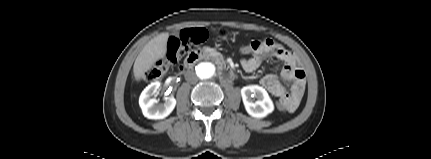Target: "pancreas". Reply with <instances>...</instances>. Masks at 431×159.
<instances>
[{"instance_id":"obj_1","label":"pancreas","mask_w":431,"mask_h":159,"mask_svg":"<svg viewBox=\"0 0 431 159\" xmlns=\"http://www.w3.org/2000/svg\"><path fill=\"white\" fill-rule=\"evenodd\" d=\"M204 52L206 53V55H208V56H215V55H219V53L218 52H216V50L215 49H213V48H209V47H205L204 48Z\"/></svg>"}]
</instances>
